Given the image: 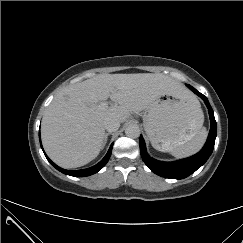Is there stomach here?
<instances>
[{
    "mask_svg": "<svg viewBox=\"0 0 243 243\" xmlns=\"http://www.w3.org/2000/svg\"><path fill=\"white\" fill-rule=\"evenodd\" d=\"M199 101L192 95L157 98L144 114V129L152 145L166 152L191 140L201 129Z\"/></svg>",
    "mask_w": 243,
    "mask_h": 243,
    "instance_id": "stomach-1",
    "label": "stomach"
}]
</instances>
